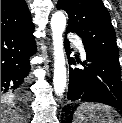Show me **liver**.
<instances>
[{
  "label": "liver",
  "instance_id": "liver-1",
  "mask_svg": "<svg viewBox=\"0 0 122 123\" xmlns=\"http://www.w3.org/2000/svg\"><path fill=\"white\" fill-rule=\"evenodd\" d=\"M20 121H22L21 116L14 110L1 108V123H18Z\"/></svg>",
  "mask_w": 122,
  "mask_h": 123
}]
</instances>
